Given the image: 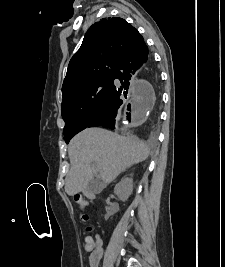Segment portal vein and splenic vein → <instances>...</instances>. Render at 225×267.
Instances as JSON below:
<instances>
[{"label": "portal vein and splenic vein", "instance_id": "obj_1", "mask_svg": "<svg viewBox=\"0 0 225 267\" xmlns=\"http://www.w3.org/2000/svg\"><path fill=\"white\" fill-rule=\"evenodd\" d=\"M93 169H94L95 171L98 170L97 166H95L94 164H93Z\"/></svg>", "mask_w": 225, "mask_h": 267}]
</instances>
